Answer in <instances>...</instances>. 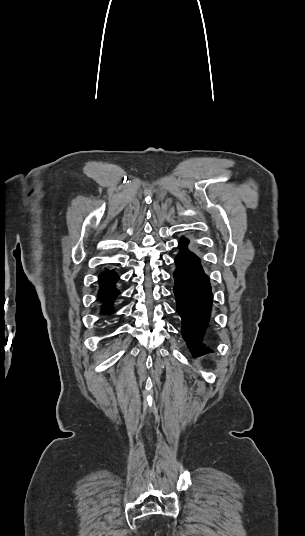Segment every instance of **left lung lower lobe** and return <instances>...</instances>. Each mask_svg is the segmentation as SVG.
<instances>
[{
  "instance_id": "0a47b994",
  "label": "left lung lower lobe",
  "mask_w": 305,
  "mask_h": 536,
  "mask_svg": "<svg viewBox=\"0 0 305 536\" xmlns=\"http://www.w3.org/2000/svg\"><path fill=\"white\" fill-rule=\"evenodd\" d=\"M189 240L179 242L180 252L175 258L174 294L177 312L182 318V335L195 354L209 350L203 339L208 328L212 292L209 278L205 274L200 258L188 249Z\"/></svg>"
}]
</instances>
